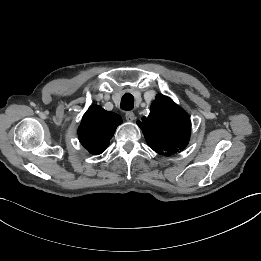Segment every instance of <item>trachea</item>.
<instances>
[{"label": "trachea", "mask_w": 261, "mask_h": 261, "mask_svg": "<svg viewBox=\"0 0 261 261\" xmlns=\"http://www.w3.org/2000/svg\"><path fill=\"white\" fill-rule=\"evenodd\" d=\"M133 105H134L133 95L130 94V93L124 94L122 99H121L120 108L125 110V111H129V110L133 109Z\"/></svg>", "instance_id": "1"}]
</instances>
